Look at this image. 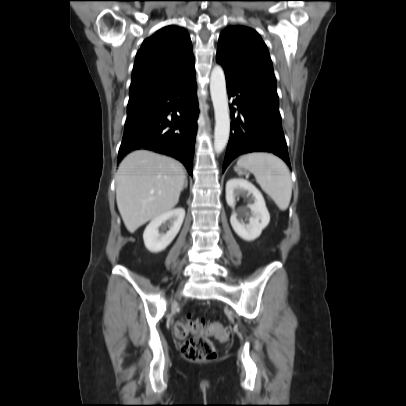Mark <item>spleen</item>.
Instances as JSON below:
<instances>
[{
	"instance_id": "obj_1",
	"label": "spleen",
	"mask_w": 406,
	"mask_h": 406,
	"mask_svg": "<svg viewBox=\"0 0 406 406\" xmlns=\"http://www.w3.org/2000/svg\"><path fill=\"white\" fill-rule=\"evenodd\" d=\"M237 165L254 174L262 190L280 210L288 208L292 196V181L288 167L280 158L270 153H249L241 156Z\"/></svg>"
}]
</instances>
